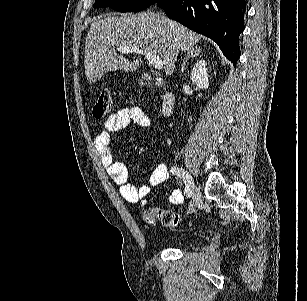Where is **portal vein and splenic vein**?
I'll return each mask as SVG.
<instances>
[{
  "label": "portal vein and splenic vein",
  "mask_w": 307,
  "mask_h": 301,
  "mask_svg": "<svg viewBox=\"0 0 307 301\" xmlns=\"http://www.w3.org/2000/svg\"><path fill=\"white\" fill-rule=\"evenodd\" d=\"M117 50L119 52H137V54H144L147 58L149 64H153L154 68H162V60L157 54H151V52H145L142 48H137V46H118Z\"/></svg>",
  "instance_id": "portal-vein-and-splenic-vein-1"
}]
</instances>
